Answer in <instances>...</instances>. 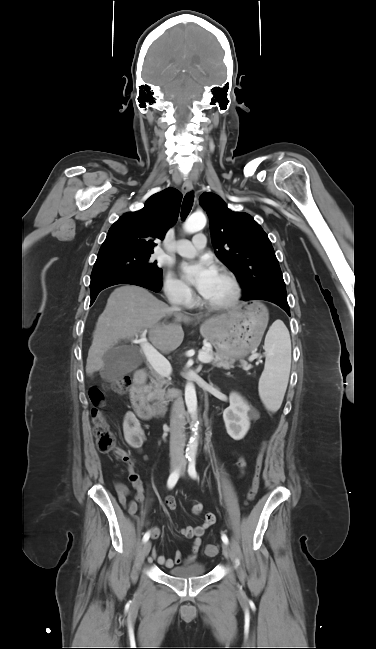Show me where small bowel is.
<instances>
[{
	"label": "small bowel",
	"mask_w": 376,
	"mask_h": 649,
	"mask_svg": "<svg viewBox=\"0 0 376 649\" xmlns=\"http://www.w3.org/2000/svg\"><path fill=\"white\" fill-rule=\"evenodd\" d=\"M122 430L125 442L131 448L139 450L144 441V430L141 421L133 412H127L125 414L122 423ZM238 467L240 468V471L243 472V469L245 467V461L243 459H239ZM128 480L136 491L133 500H128L130 490L125 484L121 482H115L114 487L121 506L124 507L127 512L135 518L136 513L140 510V507L144 502L145 496L142 480L140 476L133 470L132 466H130L128 470ZM165 507L169 511H174L176 509L175 499L173 497H167L165 499ZM202 511L203 505L200 502H194L192 505L193 514L199 515L202 513ZM215 522L216 515L209 512L205 515L203 522H201L197 526H186L180 530L181 534L184 537L193 540L190 553L187 557L183 558L181 552L178 550L175 551L173 558H167L159 554L156 550H153L152 557L159 565L164 566L165 568H172L175 565L189 564L194 562L198 557L199 549L202 543V536ZM148 532L151 533L152 539H158L161 536V531L158 527H150Z\"/></svg>",
	"instance_id": "c3829d8e"
}]
</instances>
